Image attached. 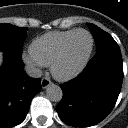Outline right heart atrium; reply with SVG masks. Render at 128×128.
Instances as JSON below:
<instances>
[{"label": "right heart atrium", "mask_w": 128, "mask_h": 128, "mask_svg": "<svg viewBox=\"0 0 128 128\" xmlns=\"http://www.w3.org/2000/svg\"><path fill=\"white\" fill-rule=\"evenodd\" d=\"M23 61L34 71L38 72L40 71L41 68L44 67V65L38 61L32 54L31 52L29 53H24L23 56Z\"/></svg>", "instance_id": "obj_1"}]
</instances>
